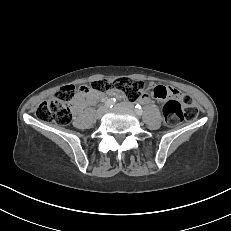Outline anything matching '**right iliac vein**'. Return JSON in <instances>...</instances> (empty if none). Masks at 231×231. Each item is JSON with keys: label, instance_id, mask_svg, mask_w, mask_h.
Here are the masks:
<instances>
[{"label": "right iliac vein", "instance_id": "1", "mask_svg": "<svg viewBox=\"0 0 231 231\" xmlns=\"http://www.w3.org/2000/svg\"><path fill=\"white\" fill-rule=\"evenodd\" d=\"M105 112H106V108L104 107L99 108L96 112V117L101 118L105 114Z\"/></svg>", "mask_w": 231, "mask_h": 231}]
</instances>
